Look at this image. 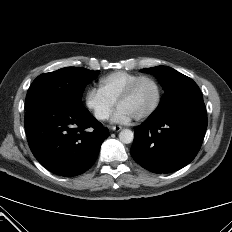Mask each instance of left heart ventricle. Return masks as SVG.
<instances>
[{"instance_id": "obj_1", "label": "left heart ventricle", "mask_w": 232, "mask_h": 232, "mask_svg": "<svg viewBox=\"0 0 232 232\" xmlns=\"http://www.w3.org/2000/svg\"><path fill=\"white\" fill-rule=\"evenodd\" d=\"M156 99V88L151 81H142L131 98L120 104L119 107L128 111L134 118L148 111Z\"/></svg>"}]
</instances>
